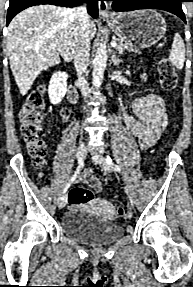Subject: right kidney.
<instances>
[{
  "label": "right kidney",
  "instance_id": "ca27d5eb",
  "mask_svg": "<svg viewBox=\"0 0 193 287\" xmlns=\"http://www.w3.org/2000/svg\"><path fill=\"white\" fill-rule=\"evenodd\" d=\"M67 78V73L61 71L54 73L51 77L48 94L52 104H59L64 98L67 91Z\"/></svg>",
  "mask_w": 193,
  "mask_h": 287
}]
</instances>
